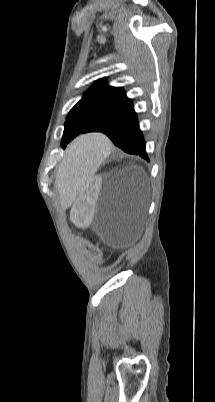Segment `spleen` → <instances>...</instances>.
<instances>
[{
  "label": "spleen",
  "instance_id": "3e777b00",
  "mask_svg": "<svg viewBox=\"0 0 215 402\" xmlns=\"http://www.w3.org/2000/svg\"><path fill=\"white\" fill-rule=\"evenodd\" d=\"M109 153L106 133H76L69 159L63 160L65 169H54L53 177L59 178L55 194L64 204H71L73 193H79L84 182H94L98 166Z\"/></svg>",
  "mask_w": 215,
  "mask_h": 402
}]
</instances>
